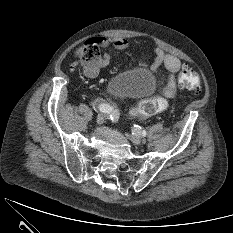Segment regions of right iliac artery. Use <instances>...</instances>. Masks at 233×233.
I'll use <instances>...</instances> for the list:
<instances>
[{"label": "right iliac artery", "mask_w": 233, "mask_h": 233, "mask_svg": "<svg viewBox=\"0 0 233 233\" xmlns=\"http://www.w3.org/2000/svg\"><path fill=\"white\" fill-rule=\"evenodd\" d=\"M92 105L94 108H98L101 112L106 114L107 117L111 119H117L119 117V111L112 104L105 102L101 98H97L93 101Z\"/></svg>", "instance_id": "82829eb1"}]
</instances>
